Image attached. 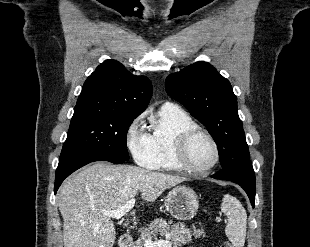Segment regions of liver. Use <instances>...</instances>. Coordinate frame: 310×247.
<instances>
[{
  "label": "liver",
  "instance_id": "1",
  "mask_svg": "<svg viewBox=\"0 0 310 247\" xmlns=\"http://www.w3.org/2000/svg\"><path fill=\"white\" fill-rule=\"evenodd\" d=\"M185 180L131 165L96 162L83 168L67 178L57 193L64 247H113L115 227L104 211L124 206L139 191L142 200L153 202Z\"/></svg>",
  "mask_w": 310,
  "mask_h": 247
}]
</instances>
